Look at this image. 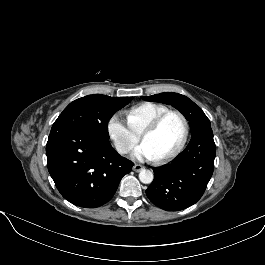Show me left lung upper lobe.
<instances>
[{
    "instance_id": "left-lung-upper-lobe-1",
    "label": "left lung upper lobe",
    "mask_w": 265,
    "mask_h": 265,
    "mask_svg": "<svg viewBox=\"0 0 265 265\" xmlns=\"http://www.w3.org/2000/svg\"><path fill=\"white\" fill-rule=\"evenodd\" d=\"M142 99L145 101H156L171 104L189 121L191 133L196 132L202 127L211 126L209 119L201 108L184 95L173 92H165L152 96H142Z\"/></svg>"
}]
</instances>
